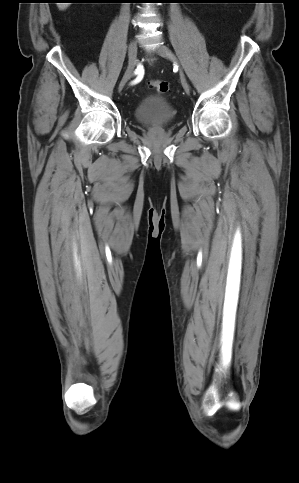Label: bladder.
Wrapping results in <instances>:
<instances>
[{
	"mask_svg": "<svg viewBox=\"0 0 299 483\" xmlns=\"http://www.w3.org/2000/svg\"><path fill=\"white\" fill-rule=\"evenodd\" d=\"M134 116L141 124L161 127L174 119L175 111L165 98L149 96L138 104Z\"/></svg>",
	"mask_w": 299,
	"mask_h": 483,
	"instance_id": "bladder-1",
	"label": "bladder"
}]
</instances>
